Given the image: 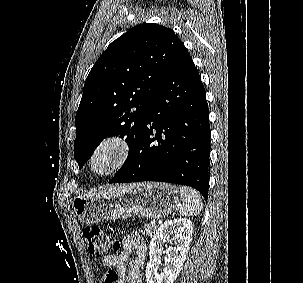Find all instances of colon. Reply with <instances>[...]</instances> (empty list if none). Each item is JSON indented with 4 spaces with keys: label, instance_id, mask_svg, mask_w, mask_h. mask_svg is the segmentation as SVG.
Returning <instances> with one entry per match:
<instances>
[{
    "label": "colon",
    "instance_id": "1",
    "mask_svg": "<svg viewBox=\"0 0 303 283\" xmlns=\"http://www.w3.org/2000/svg\"><path fill=\"white\" fill-rule=\"evenodd\" d=\"M84 237L93 255L108 253L118 246V242L108 231L97 226H88L84 231Z\"/></svg>",
    "mask_w": 303,
    "mask_h": 283
}]
</instances>
